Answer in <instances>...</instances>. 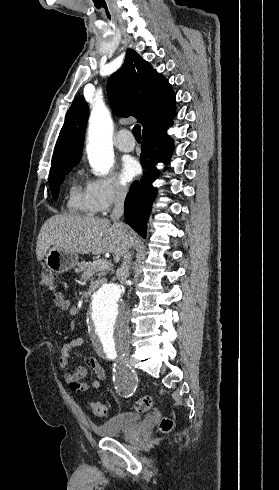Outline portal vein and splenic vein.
<instances>
[{"instance_id":"obj_1","label":"portal vein and splenic vein","mask_w":279,"mask_h":490,"mask_svg":"<svg viewBox=\"0 0 279 490\" xmlns=\"http://www.w3.org/2000/svg\"><path fill=\"white\" fill-rule=\"evenodd\" d=\"M95 266H99V264H105V260H98V262H93Z\"/></svg>"}]
</instances>
